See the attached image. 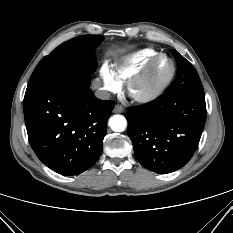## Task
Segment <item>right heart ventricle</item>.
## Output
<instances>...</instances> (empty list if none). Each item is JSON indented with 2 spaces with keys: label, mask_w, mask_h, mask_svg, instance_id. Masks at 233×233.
<instances>
[{
  "label": "right heart ventricle",
  "mask_w": 233,
  "mask_h": 233,
  "mask_svg": "<svg viewBox=\"0 0 233 233\" xmlns=\"http://www.w3.org/2000/svg\"><path fill=\"white\" fill-rule=\"evenodd\" d=\"M160 53L154 49H143L131 55L123 64L112 65V73L122 83L143 70Z\"/></svg>",
  "instance_id": "obj_1"
}]
</instances>
